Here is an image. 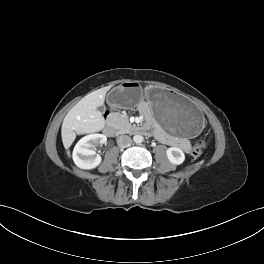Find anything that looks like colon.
<instances>
[{
  "instance_id": "5ec220e1",
  "label": "colon",
  "mask_w": 264,
  "mask_h": 264,
  "mask_svg": "<svg viewBox=\"0 0 264 264\" xmlns=\"http://www.w3.org/2000/svg\"><path fill=\"white\" fill-rule=\"evenodd\" d=\"M204 146H205V143L203 140H198L194 146H193V149L191 151V154L194 156V157H199L202 152H203V149H204Z\"/></svg>"
}]
</instances>
